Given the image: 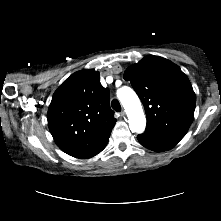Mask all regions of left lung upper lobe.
<instances>
[{"label":"left lung upper lobe","instance_id":"obj_1","mask_svg":"<svg viewBox=\"0 0 221 221\" xmlns=\"http://www.w3.org/2000/svg\"><path fill=\"white\" fill-rule=\"evenodd\" d=\"M140 97L147 128L186 134L194 116L196 97L187 76L171 61L149 55L124 73Z\"/></svg>","mask_w":221,"mask_h":221}]
</instances>
